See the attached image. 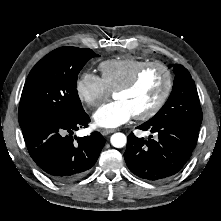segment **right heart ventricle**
Instances as JSON below:
<instances>
[{"mask_svg": "<svg viewBox=\"0 0 221 221\" xmlns=\"http://www.w3.org/2000/svg\"><path fill=\"white\" fill-rule=\"evenodd\" d=\"M146 60L135 57L109 59L99 64L101 79L108 90L125 82Z\"/></svg>", "mask_w": 221, "mask_h": 221, "instance_id": "right-heart-ventricle-1", "label": "right heart ventricle"}]
</instances>
